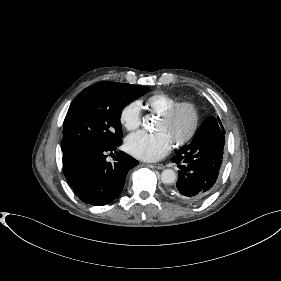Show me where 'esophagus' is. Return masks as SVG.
<instances>
[{"label":"esophagus","instance_id":"obj_1","mask_svg":"<svg viewBox=\"0 0 281 281\" xmlns=\"http://www.w3.org/2000/svg\"><path fill=\"white\" fill-rule=\"evenodd\" d=\"M154 167H155L156 169H159V170H162V169L165 168V166L162 165V164H155Z\"/></svg>","mask_w":281,"mask_h":281}]
</instances>
